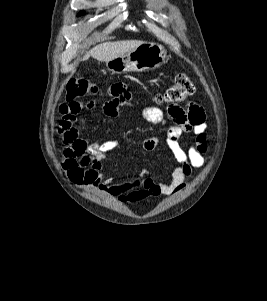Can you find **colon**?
<instances>
[{
	"instance_id": "1",
	"label": "colon",
	"mask_w": 267,
	"mask_h": 301,
	"mask_svg": "<svg viewBox=\"0 0 267 301\" xmlns=\"http://www.w3.org/2000/svg\"><path fill=\"white\" fill-rule=\"evenodd\" d=\"M195 87L190 78L186 75L176 77L172 86L166 92L158 96V101L167 102L171 105L186 100L194 93ZM98 88L85 78L71 80L66 87V99L75 100L89 94H95Z\"/></svg>"
}]
</instances>
